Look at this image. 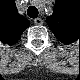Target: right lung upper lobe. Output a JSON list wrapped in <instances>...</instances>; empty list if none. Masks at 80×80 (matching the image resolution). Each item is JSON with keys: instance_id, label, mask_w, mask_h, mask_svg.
<instances>
[{"instance_id": "obj_1", "label": "right lung upper lobe", "mask_w": 80, "mask_h": 80, "mask_svg": "<svg viewBox=\"0 0 80 80\" xmlns=\"http://www.w3.org/2000/svg\"><path fill=\"white\" fill-rule=\"evenodd\" d=\"M0 13V39L3 42L14 44L29 27V22L23 16L18 15L13 2L7 9L3 8Z\"/></svg>"}]
</instances>
